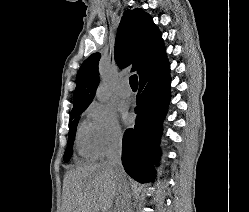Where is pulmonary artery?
I'll use <instances>...</instances> for the list:
<instances>
[{
  "label": "pulmonary artery",
  "mask_w": 249,
  "mask_h": 212,
  "mask_svg": "<svg viewBox=\"0 0 249 212\" xmlns=\"http://www.w3.org/2000/svg\"><path fill=\"white\" fill-rule=\"evenodd\" d=\"M118 95L121 98H128L131 95V88L127 77L123 78L118 88Z\"/></svg>",
  "instance_id": "pulmonary-artery-1"
}]
</instances>
